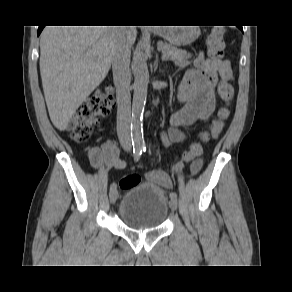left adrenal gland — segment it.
I'll use <instances>...</instances> for the list:
<instances>
[{
    "mask_svg": "<svg viewBox=\"0 0 292 292\" xmlns=\"http://www.w3.org/2000/svg\"><path fill=\"white\" fill-rule=\"evenodd\" d=\"M157 66H158V63H157V61L155 62V69L157 68Z\"/></svg>",
    "mask_w": 292,
    "mask_h": 292,
    "instance_id": "obj_1",
    "label": "left adrenal gland"
}]
</instances>
